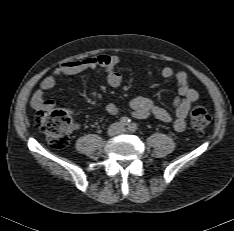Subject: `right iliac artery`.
I'll return each mask as SVG.
<instances>
[{
    "label": "right iliac artery",
    "instance_id": "82829eb1",
    "mask_svg": "<svg viewBox=\"0 0 234 231\" xmlns=\"http://www.w3.org/2000/svg\"><path fill=\"white\" fill-rule=\"evenodd\" d=\"M130 122H131V120L128 117L120 118V124L123 125V126L129 125Z\"/></svg>",
    "mask_w": 234,
    "mask_h": 231
}]
</instances>
